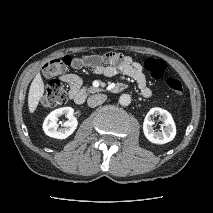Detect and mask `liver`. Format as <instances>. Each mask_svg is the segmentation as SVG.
I'll use <instances>...</instances> for the list:
<instances>
[{
	"label": "liver",
	"instance_id": "6515ba94",
	"mask_svg": "<svg viewBox=\"0 0 213 213\" xmlns=\"http://www.w3.org/2000/svg\"><path fill=\"white\" fill-rule=\"evenodd\" d=\"M44 94V82L42 80L41 74L37 73L34 77L28 94V108L30 113H33Z\"/></svg>",
	"mask_w": 213,
	"mask_h": 213
}]
</instances>
